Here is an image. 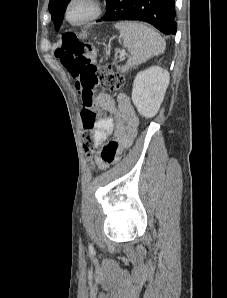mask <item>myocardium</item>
<instances>
[{
  "label": "myocardium",
  "mask_w": 227,
  "mask_h": 298,
  "mask_svg": "<svg viewBox=\"0 0 227 298\" xmlns=\"http://www.w3.org/2000/svg\"><path fill=\"white\" fill-rule=\"evenodd\" d=\"M75 1L76 0H69L66 5V9H65V17L71 25L80 26V25L90 23V22L96 20L102 13V10H103L102 1L101 0H90V2L92 3V6H93L92 13L88 17H86L80 21H73L70 17V8Z\"/></svg>",
  "instance_id": "obj_1"
}]
</instances>
